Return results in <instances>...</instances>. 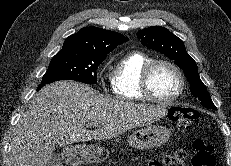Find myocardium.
Listing matches in <instances>:
<instances>
[{
  "label": "myocardium",
  "mask_w": 231,
  "mask_h": 166,
  "mask_svg": "<svg viewBox=\"0 0 231 166\" xmlns=\"http://www.w3.org/2000/svg\"><path fill=\"white\" fill-rule=\"evenodd\" d=\"M158 65H166L170 67L175 72L179 80V87H178L177 92L168 99H161V98L156 97L154 93L152 92V89L150 86L151 75L154 69ZM185 84H186L185 77L181 69L175 63L167 59H153L142 70L140 87H141V91L144 97L160 105H170L174 103L176 100H178L180 96L182 95V93L184 92Z\"/></svg>",
  "instance_id": "1"
}]
</instances>
